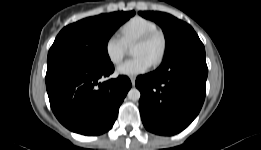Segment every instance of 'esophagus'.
<instances>
[{
    "label": "esophagus",
    "instance_id": "34e87169",
    "mask_svg": "<svg viewBox=\"0 0 261 150\" xmlns=\"http://www.w3.org/2000/svg\"><path fill=\"white\" fill-rule=\"evenodd\" d=\"M132 86H135L136 77H130Z\"/></svg>",
    "mask_w": 261,
    "mask_h": 150
}]
</instances>
